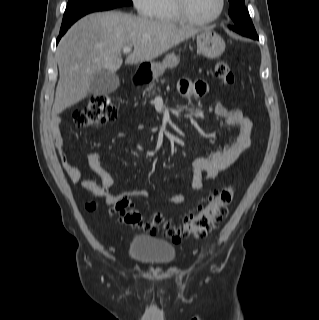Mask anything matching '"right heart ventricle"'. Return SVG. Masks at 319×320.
Segmentation results:
<instances>
[{
  "label": "right heart ventricle",
  "mask_w": 319,
  "mask_h": 320,
  "mask_svg": "<svg viewBox=\"0 0 319 320\" xmlns=\"http://www.w3.org/2000/svg\"><path fill=\"white\" fill-rule=\"evenodd\" d=\"M154 19L162 23H180L183 20L177 14L173 0H159Z\"/></svg>",
  "instance_id": "obj_1"
}]
</instances>
